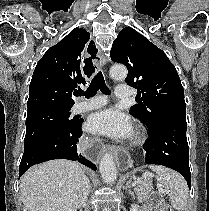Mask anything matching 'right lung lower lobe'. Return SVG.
<instances>
[{
  "instance_id": "98d812e1",
  "label": "right lung lower lobe",
  "mask_w": 209,
  "mask_h": 211,
  "mask_svg": "<svg viewBox=\"0 0 209 211\" xmlns=\"http://www.w3.org/2000/svg\"><path fill=\"white\" fill-rule=\"evenodd\" d=\"M83 120L69 127L54 131L24 150L21 159L19 176L29 167L52 159H69L96 170V166L77 153V140L82 135Z\"/></svg>"
}]
</instances>
